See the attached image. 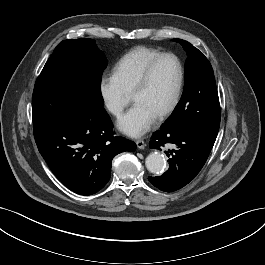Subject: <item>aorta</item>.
<instances>
[{
    "label": "aorta",
    "instance_id": "762f6f07",
    "mask_svg": "<svg viewBox=\"0 0 265 265\" xmlns=\"http://www.w3.org/2000/svg\"><path fill=\"white\" fill-rule=\"evenodd\" d=\"M145 164L148 171L153 174H161L166 168L165 158L163 154L158 151L150 153L146 159Z\"/></svg>",
    "mask_w": 265,
    "mask_h": 265
}]
</instances>
